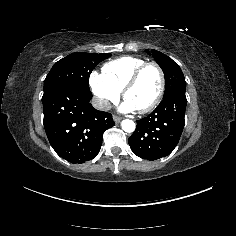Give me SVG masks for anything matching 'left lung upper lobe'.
<instances>
[{
    "instance_id": "1",
    "label": "left lung upper lobe",
    "mask_w": 236,
    "mask_h": 236,
    "mask_svg": "<svg viewBox=\"0 0 236 236\" xmlns=\"http://www.w3.org/2000/svg\"><path fill=\"white\" fill-rule=\"evenodd\" d=\"M148 54L150 52L146 50ZM152 55L159 66L162 68L165 75V93L164 96L174 90H186V82L180 67L167 55L152 50Z\"/></svg>"
}]
</instances>
